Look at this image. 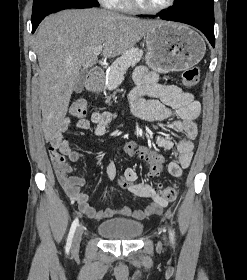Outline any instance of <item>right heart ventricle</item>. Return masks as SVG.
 Segmentation results:
<instances>
[{"label": "right heart ventricle", "mask_w": 247, "mask_h": 280, "mask_svg": "<svg viewBox=\"0 0 247 280\" xmlns=\"http://www.w3.org/2000/svg\"><path fill=\"white\" fill-rule=\"evenodd\" d=\"M116 7L119 10H124V11L130 10L131 8L130 4L128 3V0H118L116 3Z\"/></svg>", "instance_id": "e07e8e85"}]
</instances>
